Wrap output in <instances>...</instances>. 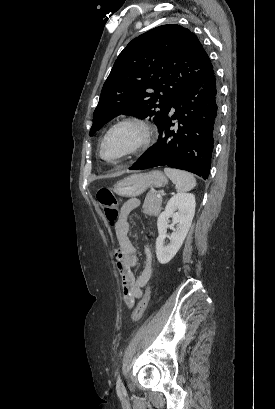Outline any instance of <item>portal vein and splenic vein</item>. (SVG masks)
I'll use <instances>...</instances> for the list:
<instances>
[{
  "instance_id": "18ae733b",
  "label": "portal vein and splenic vein",
  "mask_w": 275,
  "mask_h": 409,
  "mask_svg": "<svg viewBox=\"0 0 275 409\" xmlns=\"http://www.w3.org/2000/svg\"><path fill=\"white\" fill-rule=\"evenodd\" d=\"M158 198H161V194H157Z\"/></svg>"
}]
</instances>
